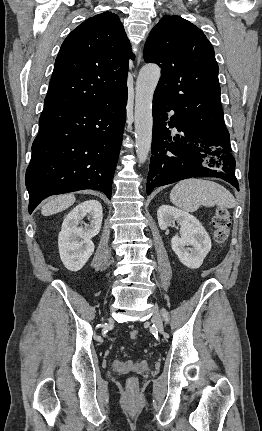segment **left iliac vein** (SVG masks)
Returning a JSON list of instances; mask_svg holds the SVG:
<instances>
[{"mask_svg":"<svg viewBox=\"0 0 262 431\" xmlns=\"http://www.w3.org/2000/svg\"><path fill=\"white\" fill-rule=\"evenodd\" d=\"M151 321L160 333L164 332V325L161 315L156 309H154V314Z\"/></svg>","mask_w":262,"mask_h":431,"instance_id":"1","label":"left iliac vein"}]
</instances>
